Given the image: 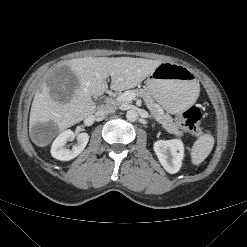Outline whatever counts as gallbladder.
I'll use <instances>...</instances> for the list:
<instances>
[{
    "instance_id": "gallbladder-1",
    "label": "gallbladder",
    "mask_w": 247,
    "mask_h": 247,
    "mask_svg": "<svg viewBox=\"0 0 247 247\" xmlns=\"http://www.w3.org/2000/svg\"><path fill=\"white\" fill-rule=\"evenodd\" d=\"M46 83L52 97L59 102L70 100L79 85L76 75L66 66L55 69L47 78Z\"/></svg>"
}]
</instances>
